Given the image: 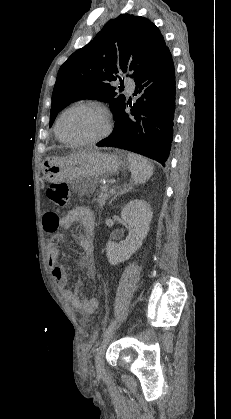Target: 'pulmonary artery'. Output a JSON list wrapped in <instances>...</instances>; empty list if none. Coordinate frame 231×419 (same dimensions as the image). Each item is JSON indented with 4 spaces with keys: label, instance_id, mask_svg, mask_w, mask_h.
<instances>
[{
    "label": "pulmonary artery",
    "instance_id": "obj_1",
    "mask_svg": "<svg viewBox=\"0 0 231 419\" xmlns=\"http://www.w3.org/2000/svg\"><path fill=\"white\" fill-rule=\"evenodd\" d=\"M125 87H126L127 91L131 92L135 87L134 80L130 79V78L126 79L125 80Z\"/></svg>",
    "mask_w": 231,
    "mask_h": 419
}]
</instances>
